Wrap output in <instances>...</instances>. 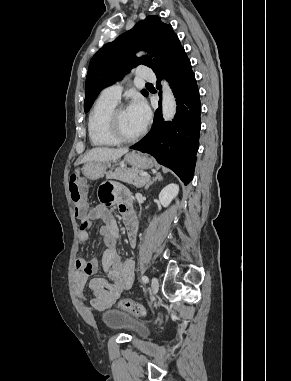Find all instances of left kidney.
Instances as JSON below:
<instances>
[{
    "instance_id": "1",
    "label": "left kidney",
    "mask_w": 291,
    "mask_h": 381,
    "mask_svg": "<svg viewBox=\"0 0 291 381\" xmlns=\"http://www.w3.org/2000/svg\"><path fill=\"white\" fill-rule=\"evenodd\" d=\"M179 192V186L171 183L164 187L159 194V202L163 207H167L171 201L177 196Z\"/></svg>"
}]
</instances>
